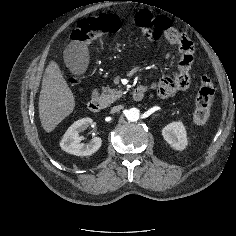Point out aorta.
<instances>
[{"instance_id": "1", "label": "aorta", "mask_w": 236, "mask_h": 236, "mask_svg": "<svg viewBox=\"0 0 236 236\" xmlns=\"http://www.w3.org/2000/svg\"><path fill=\"white\" fill-rule=\"evenodd\" d=\"M126 117H127L128 121L135 122L140 117V111L137 108H131L127 111Z\"/></svg>"}]
</instances>
